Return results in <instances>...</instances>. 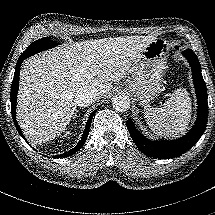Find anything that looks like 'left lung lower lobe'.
<instances>
[{"instance_id":"1","label":"left lung lower lobe","mask_w":215,"mask_h":215,"mask_svg":"<svg viewBox=\"0 0 215 215\" xmlns=\"http://www.w3.org/2000/svg\"><path fill=\"white\" fill-rule=\"evenodd\" d=\"M183 55L190 63L198 99V117L192 129L185 136L176 140L152 141L137 130L131 119L126 122L129 133L138 149L152 158L169 159L179 157L198 142L206 128L208 118L207 90L201 74V66L191 49L183 51Z\"/></svg>"}]
</instances>
